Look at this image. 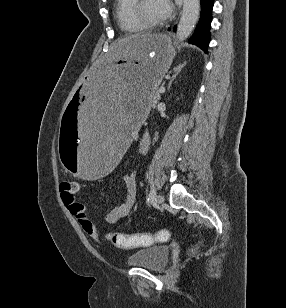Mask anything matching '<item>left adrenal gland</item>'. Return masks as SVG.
<instances>
[{"instance_id":"a2214340","label":"left adrenal gland","mask_w":286,"mask_h":308,"mask_svg":"<svg viewBox=\"0 0 286 308\" xmlns=\"http://www.w3.org/2000/svg\"><path fill=\"white\" fill-rule=\"evenodd\" d=\"M184 66H185V63L174 67L173 71L175 72V74L172 76V79L170 80L168 84V90L170 89L172 82L174 81V79H176L177 75L181 72Z\"/></svg>"}]
</instances>
